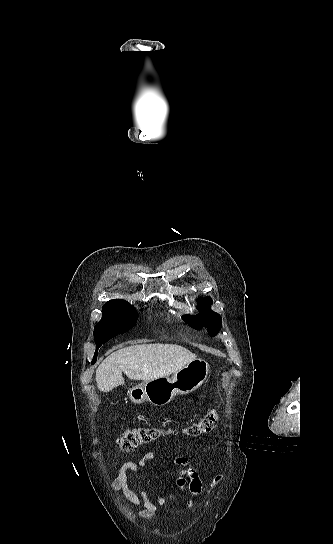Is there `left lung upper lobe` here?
I'll list each match as a JSON object with an SVG mask.
<instances>
[{"instance_id": "1", "label": "left lung upper lobe", "mask_w": 333, "mask_h": 544, "mask_svg": "<svg viewBox=\"0 0 333 544\" xmlns=\"http://www.w3.org/2000/svg\"><path fill=\"white\" fill-rule=\"evenodd\" d=\"M211 304L212 299L210 297H206L200 300L197 305V309L199 311L198 315H183L182 318L195 329H200L206 326L209 334L214 336L221 329L222 319L219 314L210 309Z\"/></svg>"}]
</instances>
